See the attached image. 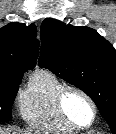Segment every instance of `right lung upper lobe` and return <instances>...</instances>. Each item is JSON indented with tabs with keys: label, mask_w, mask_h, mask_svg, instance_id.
<instances>
[{
	"label": "right lung upper lobe",
	"mask_w": 116,
	"mask_h": 134,
	"mask_svg": "<svg viewBox=\"0 0 116 134\" xmlns=\"http://www.w3.org/2000/svg\"><path fill=\"white\" fill-rule=\"evenodd\" d=\"M34 24L9 23L0 28V84L21 82L23 73L35 66L39 50Z\"/></svg>",
	"instance_id": "right-lung-upper-lobe-1"
}]
</instances>
